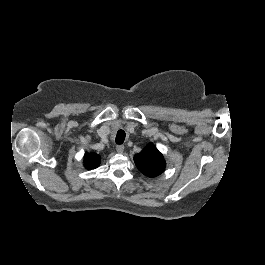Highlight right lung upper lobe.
Returning a JSON list of instances; mask_svg holds the SVG:
<instances>
[{
    "label": "right lung upper lobe",
    "instance_id": "obj_1",
    "mask_svg": "<svg viewBox=\"0 0 265 265\" xmlns=\"http://www.w3.org/2000/svg\"><path fill=\"white\" fill-rule=\"evenodd\" d=\"M100 164V156L95 153H86L84 156V166L87 169H94Z\"/></svg>",
    "mask_w": 265,
    "mask_h": 265
}]
</instances>
